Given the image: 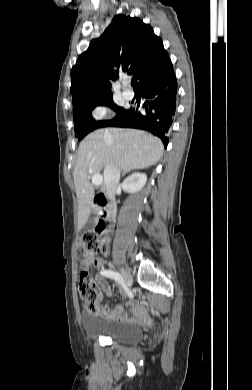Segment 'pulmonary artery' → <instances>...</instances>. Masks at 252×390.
<instances>
[{
    "label": "pulmonary artery",
    "mask_w": 252,
    "mask_h": 390,
    "mask_svg": "<svg viewBox=\"0 0 252 390\" xmlns=\"http://www.w3.org/2000/svg\"><path fill=\"white\" fill-rule=\"evenodd\" d=\"M123 96L126 99H132L134 97V92L129 87V82L125 83V89L123 91Z\"/></svg>",
    "instance_id": "obj_1"
}]
</instances>
